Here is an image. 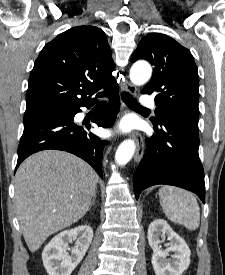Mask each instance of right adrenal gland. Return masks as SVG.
I'll use <instances>...</instances> for the list:
<instances>
[{"instance_id":"obj_1","label":"right adrenal gland","mask_w":225,"mask_h":275,"mask_svg":"<svg viewBox=\"0 0 225 275\" xmlns=\"http://www.w3.org/2000/svg\"><path fill=\"white\" fill-rule=\"evenodd\" d=\"M96 197H97V190L95 191V193H94V195H93V198H92V201H91V204H90L89 209L92 207V205L95 204Z\"/></svg>"}]
</instances>
